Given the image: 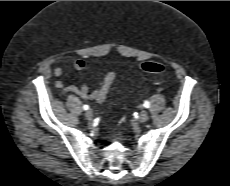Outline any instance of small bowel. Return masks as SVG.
I'll use <instances>...</instances> for the list:
<instances>
[{
  "label": "small bowel",
  "mask_w": 230,
  "mask_h": 186,
  "mask_svg": "<svg viewBox=\"0 0 230 186\" xmlns=\"http://www.w3.org/2000/svg\"><path fill=\"white\" fill-rule=\"evenodd\" d=\"M72 67L76 70H83L87 67V64L82 59H77L73 61ZM64 73L63 67H57L54 69L53 74L55 77H60ZM111 74V73H109ZM108 74V75H109ZM108 75H106L101 82L99 83L98 87L94 89L93 91L90 90V88L87 85H65V83L58 79L55 82L56 88L61 90L62 93H72L75 94L82 99L85 100H94L97 102L104 101L106 94L108 92V89L110 87L111 82L108 80Z\"/></svg>",
  "instance_id": "obj_1"
}]
</instances>
